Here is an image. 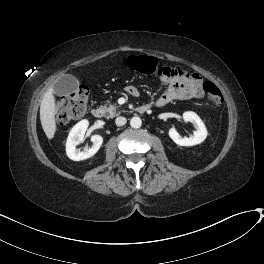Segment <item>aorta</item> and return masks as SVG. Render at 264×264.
Here are the masks:
<instances>
[{"label":"aorta","instance_id":"762f6f07","mask_svg":"<svg viewBox=\"0 0 264 264\" xmlns=\"http://www.w3.org/2000/svg\"><path fill=\"white\" fill-rule=\"evenodd\" d=\"M130 125L132 128L137 129L141 127L142 121L139 117H132L130 120Z\"/></svg>","mask_w":264,"mask_h":264}]
</instances>
